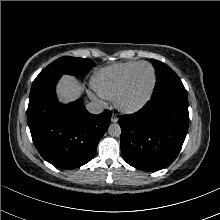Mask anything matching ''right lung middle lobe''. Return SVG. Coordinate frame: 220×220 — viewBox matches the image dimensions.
<instances>
[{
	"label": "right lung middle lobe",
	"mask_w": 220,
	"mask_h": 220,
	"mask_svg": "<svg viewBox=\"0 0 220 220\" xmlns=\"http://www.w3.org/2000/svg\"><path fill=\"white\" fill-rule=\"evenodd\" d=\"M95 66V63L88 58H76L64 56L58 58L44 68L34 81L47 78L53 75L70 74L84 76L89 70Z\"/></svg>",
	"instance_id": "dd1d6c3e"
}]
</instances>
